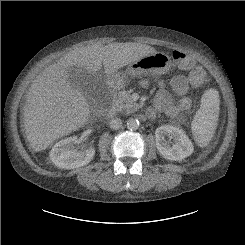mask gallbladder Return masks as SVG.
Wrapping results in <instances>:
<instances>
[{"label": "gallbladder", "instance_id": "obj_1", "mask_svg": "<svg viewBox=\"0 0 245 245\" xmlns=\"http://www.w3.org/2000/svg\"><path fill=\"white\" fill-rule=\"evenodd\" d=\"M68 77L71 85L86 97L92 108L103 106L107 89L101 77L78 67H70Z\"/></svg>", "mask_w": 245, "mask_h": 245}]
</instances>
